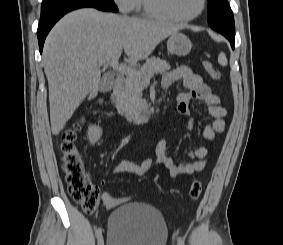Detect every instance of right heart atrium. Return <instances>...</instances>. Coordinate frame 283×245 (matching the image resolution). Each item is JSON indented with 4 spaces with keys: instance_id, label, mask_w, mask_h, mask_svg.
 Masks as SVG:
<instances>
[{
    "instance_id": "1",
    "label": "right heart atrium",
    "mask_w": 283,
    "mask_h": 245,
    "mask_svg": "<svg viewBox=\"0 0 283 245\" xmlns=\"http://www.w3.org/2000/svg\"><path fill=\"white\" fill-rule=\"evenodd\" d=\"M135 0H113L118 9L123 13H129L134 8Z\"/></svg>"
}]
</instances>
